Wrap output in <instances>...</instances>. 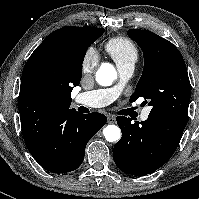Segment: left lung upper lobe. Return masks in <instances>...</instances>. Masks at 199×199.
<instances>
[{"label":"left lung upper lobe","mask_w":199,"mask_h":199,"mask_svg":"<svg viewBox=\"0 0 199 199\" xmlns=\"http://www.w3.org/2000/svg\"><path fill=\"white\" fill-rule=\"evenodd\" d=\"M128 36L142 49L144 69L130 101L143 97L151 113L188 120L191 86L180 51L168 40L148 30H129Z\"/></svg>","instance_id":"left-lung-upper-lobe-1"}]
</instances>
